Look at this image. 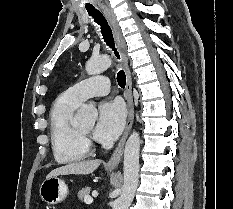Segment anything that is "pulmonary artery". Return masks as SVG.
I'll return each instance as SVG.
<instances>
[{"instance_id":"obj_1","label":"pulmonary artery","mask_w":233,"mask_h":209,"mask_svg":"<svg viewBox=\"0 0 233 209\" xmlns=\"http://www.w3.org/2000/svg\"><path fill=\"white\" fill-rule=\"evenodd\" d=\"M110 91V81L105 76H93L71 86L66 92L70 98L82 103L93 96H103Z\"/></svg>"}]
</instances>
